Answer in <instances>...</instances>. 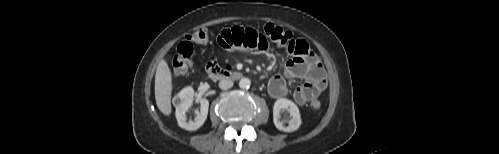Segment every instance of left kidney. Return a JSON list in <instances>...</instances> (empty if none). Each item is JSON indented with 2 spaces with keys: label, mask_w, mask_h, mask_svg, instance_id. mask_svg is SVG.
<instances>
[{
  "label": "left kidney",
  "mask_w": 499,
  "mask_h": 154,
  "mask_svg": "<svg viewBox=\"0 0 499 154\" xmlns=\"http://www.w3.org/2000/svg\"><path fill=\"white\" fill-rule=\"evenodd\" d=\"M288 112L290 119H281V114ZM273 122L275 127L284 132L296 131L301 125V115L297 105L288 99L276 100L273 107Z\"/></svg>",
  "instance_id": "left-kidney-1"
}]
</instances>
